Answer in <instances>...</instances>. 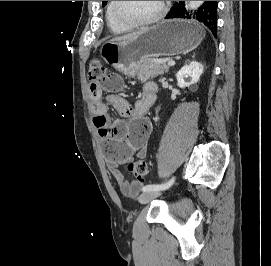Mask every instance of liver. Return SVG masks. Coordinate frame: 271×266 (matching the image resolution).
<instances>
[{"label": "liver", "mask_w": 271, "mask_h": 266, "mask_svg": "<svg viewBox=\"0 0 271 266\" xmlns=\"http://www.w3.org/2000/svg\"><path fill=\"white\" fill-rule=\"evenodd\" d=\"M146 30H147V28H142L136 32H132V33L126 34L124 36L115 37V38L111 39L109 42H119V41L129 40V39H132V38L138 36L139 34L145 32Z\"/></svg>", "instance_id": "6515ba94"}]
</instances>
